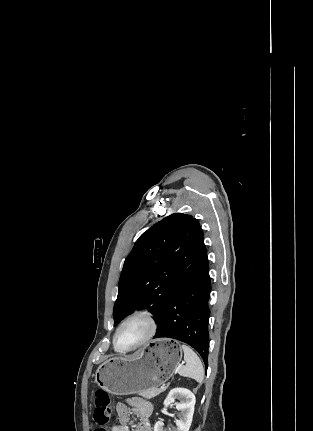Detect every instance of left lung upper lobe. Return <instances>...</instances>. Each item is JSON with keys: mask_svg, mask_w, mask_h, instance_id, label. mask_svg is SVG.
<instances>
[{"mask_svg": "<svg viewBox=\"0 0 313 431\" xmlns=\"http://www.w3.org/2000/svg\"><path fill=\"white\" fill-rule=\"evenodd\" d=\"M199 222L172 214L144 232L126 257L113 309L114 326L134 310L157 321L164 306L191 276L207 250Z\"/></svg>", "mask_w": 313, "mask_h": 431, "instance_id": "left-lung-upper-lobe-1", "label": "left lung upper lobe"}]
</instances>
